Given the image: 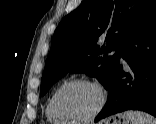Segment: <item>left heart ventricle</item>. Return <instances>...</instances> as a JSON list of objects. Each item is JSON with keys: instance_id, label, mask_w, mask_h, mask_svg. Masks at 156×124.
<instances>
[{"instance_id": "b2bd125f", "label": "left heart ventricle", "mask_w": 156, "mask_h": 124, "mask_svg": "<svg viewBox=\"0 0 156 124\" xmlns=\"http://www.w3.org/2000/svg\"><path fill=\"white\" fill-rule=\"evenodd\" d=\"M100 101L98 91L89 85L66 88L58 99L59 110L67 117L79 119L90 115Z\"/></svg>"}]
</instances>
